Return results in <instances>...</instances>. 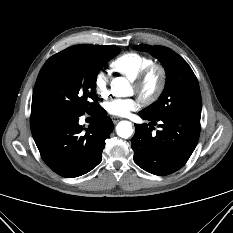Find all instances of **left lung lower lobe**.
Instances as JSON below:
<instances>
[{
    "mask_svg": "<svg viewBox=\"0 0 233 233\" xmlns=\"http://www.w3.org/2000/svg\"><path fill=\"white\" fill-rule=\"evenodd\" d=\"M141 118L151 121L135 124L132 149L135 163L145 171L158 176L176 172L188 161L200 135L199 114L177 113L160 119H151L141 112ZM159 123L155 134L152 125Z\"/></svg>",
    "mask_w": 233,
    "mask_h": 233,
    "instance_id": "left-lung-lower-lobe-1",
    "label": "left lung lower lobe"
}]
</instances>
